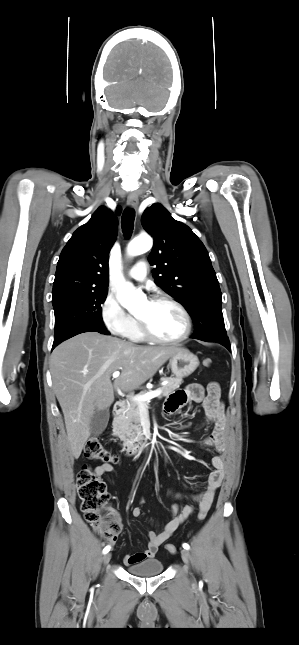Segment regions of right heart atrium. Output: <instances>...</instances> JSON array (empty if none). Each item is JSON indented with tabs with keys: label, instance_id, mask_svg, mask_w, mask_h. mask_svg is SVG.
<instances>
[{
	"label": "right heart atrium",
	"instance_id": "obj_1",
	"mask_svg": "<svg viewBox=\"0 0 299 645\" xmlns=\"http://www.w3.org/2000/svg\"><path fill=\"white\" fill-rule=\"evenodd\" d=\"M100 316L106 330L112 335L125 336L133 324V317L129 315L119 300L112 294L104 298Z\"/></svg>",
	"mask_w": 299,
	"mask_h": 645
}]
</instances>
